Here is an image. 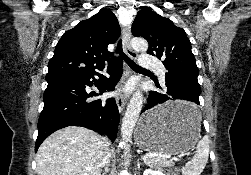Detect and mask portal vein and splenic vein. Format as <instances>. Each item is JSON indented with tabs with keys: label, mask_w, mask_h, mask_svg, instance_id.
<instances>
[{
	"label": "portal vein and splenic vein",
	"mask_w": 251,
	"mask_h": 175,
	"mask_svg": "<svg viewBox=\"0 0 251 175\" xmlns=\"http://www.w3.org/2000/svg\"><path fill=\"white\" fill-rule=\"evenodd\" d=\"M146 157H148V153H146ZM150 158H164V159H172V161L175 162H186L187 158L186 157H179L175 156L174 153H150L149 154ZM84 175H87V173H84Z\"/></svg>",
	"instance_id": "obj_1"
}]
</instances>
